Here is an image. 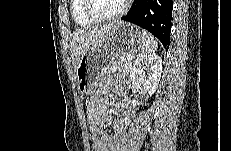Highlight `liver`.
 Segmentation results:
<instances>
[{
	"mask_svg": "<svg viewBox=\"0 0 231 151\" xmlns=\"http://www.w3.org/2000/svg\"><path fill=\"white\" fill-rule=\"evenodd\" d=\"M117 23L118 22H112L92 28H81L73 32L71 40V58L75 70L81 56L103 44L108 39L113 27Z\"/></svg>",
	"mask_w": 231,
	"mask_h": 151,
	"instance_id": "liver-1",
	"label": "liver"
}]
</instances>
